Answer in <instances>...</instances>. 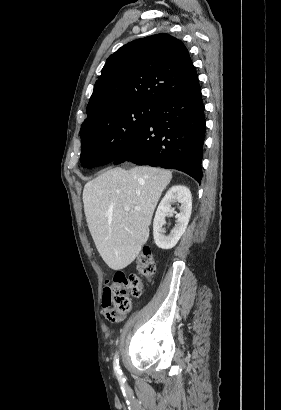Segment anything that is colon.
Wrapping results in <instances>:
<instances>
[{"mask_svg":"<svg viewBox=\"0 0 281 410\" xmlns=\"http://www.w3.org/2000/svg\"><path fill=\"white\" fill-rule=\"evenodd\" d=\"M155 268L150 248L148 246L143 247L138 257L139 272L145 279L151 280ZM142 289L143 282L139 276L117 272L109 285L110 302L113 308H111L106 318L111 322H116L122 314L128 313L131 310L132 298L140 297Z\"/></svg>","mask_w":281,"mask_h":410,"instance_id":"1","label":"colon"}]
</instances>
